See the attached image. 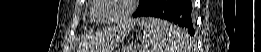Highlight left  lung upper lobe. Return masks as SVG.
Instances as JSON below:
<instances>
[{"label":"left lung upper lobe","mask_w":261,"mask_h":52,"mask_svg":"<svg viewBox=\"0 0 261 52\" xmlns=\"http://www.w3.org/2000/svg\"><path fill=\"white\" fill-rule=\"evenodd\" d=\"M153 0H140V6L137 12L141 11L143 8L151 4Z\"/></svg>","instance_id":"left-lung-upper-lobe-1"}]
</instances>
